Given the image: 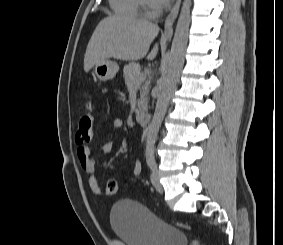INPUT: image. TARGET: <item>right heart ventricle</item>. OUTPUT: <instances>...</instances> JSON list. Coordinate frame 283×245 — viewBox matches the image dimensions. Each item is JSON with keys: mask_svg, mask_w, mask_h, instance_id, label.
I'll list each match as a JSON object with an SVG mask.
<instances>
[{"mask_svg": "<svg viewBox=\"0 0 283 245\" xmlns=\"http://www.w3.org/2000/svg\"><path fill=\"white\" fill-rule=\"evenodd\" d=\"M113 11L119 15L138 16L141 6L139 0H109Z\"/></svg>", "mask_w": 283, "mask_h": 245, "instance_id": "right-heart-ventricle-1", "label": "right heart ventricle"}]
</instances>
